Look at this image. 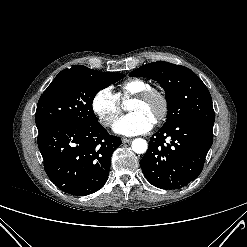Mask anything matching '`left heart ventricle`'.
I'll list each match as a JSON object with an SVG mask.
<instances>
[{"instance_id": "left-heart-ventricle-1", "label": "left heart ventricle", "mask_w": 247, "mask_h": 247, "mask_svg": "<svg viewBox=\"0 0 247 247\" xmlns=\"http://www.w3.org/2000/svg\"><path fill=\"white\" fill-rule=\"evenodd\" d=\"M160 108H161V104L157 98H153L147 102H140L137 100H133L129 106V110L131 112L139 111L153 119L157 117Z\"/></svg>"}]
</instances>
